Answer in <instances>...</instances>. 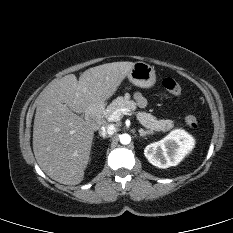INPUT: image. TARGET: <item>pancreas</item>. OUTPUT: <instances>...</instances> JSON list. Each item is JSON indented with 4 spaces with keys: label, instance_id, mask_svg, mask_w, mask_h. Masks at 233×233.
<instances>
[{
    "label": "pancreas",
    "instance_id": "1",
    "mask_svg": "<svg viewBox=\"0 0 233 233\" xmlns=\"http://www.w3.org/2000/svg\"><path fill=\"white\" fill-rule=\"evenodd\" d=\"M120 108L136 110L137 107L136 103L133 100H130L129 96H119L107 106L106 110L103 113V116L105 118H108L111 114H113L117 109ZM136 116L140 124L143 127L147 128L151 133H153L154 131L167 132L174 127V122L172 120H158L150 113H146L144 111L136 112Z\"/></svg>",
    "mask_w": 233,
    "mask_h": 233
}]
</instances>
